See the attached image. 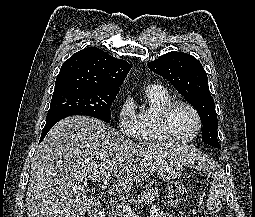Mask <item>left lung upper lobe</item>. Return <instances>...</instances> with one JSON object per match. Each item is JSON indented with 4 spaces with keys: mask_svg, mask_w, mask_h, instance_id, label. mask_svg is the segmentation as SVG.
<instances>
[{
    "mask_svg": "<svg viewBox=\"0 0 255 217\" xmlns=\"http://www.w3.org/2000/svg\"><path fill=\"white\" fill-rule=\"evenodd\" d=\"M148 67L170 81L197 110L204 125L202 142L221 149L216 135L218 123L215 104L209 91L207 74L201 63L190 54L169 52L148 63Z\"/></svg>",
    "mask_w": 255,
    "mask_h": 217,
    "instance_id": "1",
    "label": "left lung upper lobe"
}]
</instances>
